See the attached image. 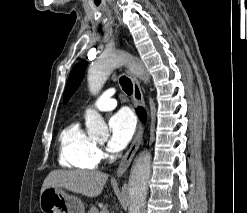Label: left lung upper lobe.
Instances as JSON below:
<instances>
[{
  "label": "left lung upper lobe",
  "instance_id": "5c2ea615",
  "mask_svg": "<svg viewBox=\"0 0 247 213\" xmlns=\"http://www.w3.org/2000/svg\"><path fill=\"white\" fill-rule=\"evenodd\" d=\"M86 66V62H80L73 67L64 92V103H66L69 100L71 95L76 91V89L80 85L81 80L84 76Z\"/></svg>",
  "mask_w": 247,
  "mask_h": 213
}]
</instances>
